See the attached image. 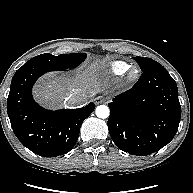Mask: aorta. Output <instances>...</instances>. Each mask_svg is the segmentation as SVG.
Returning a JSON list of instances; mask_svg holds the SVG:
<instances>
[{
	"label": "aorta",
	"mask_w": 193,
	"mask_h": 193,
	"mask_svg": "<svg viewBox=\"0 0 193 193\" xmlns=\"http://www.w3.org/2000/svg\"><path fill=\"white\" fill-rule=\"evenodd\" d=\"M110 114V110L106 105H100L96 108V116L99 118H107Z\"/></svg>",
	"instance_id": "1"
}]
</instances>
